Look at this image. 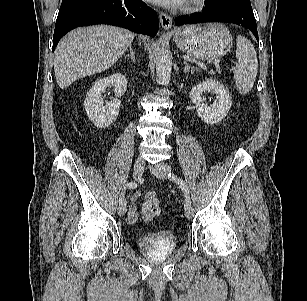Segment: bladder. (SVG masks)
I'll return each instance as SVG.
<instances>
[{
  "mask_svg": "<svg viewBox=\"0 0 307 301\" xmlns=\"http://www.w3.org/2000/svg\"><path fill=\"white\" fill-rule=\"evenodd\" d=\"M141 250L151 259L168 256L175 247V241L167 233H151L138 240Z\"/></svg>",
  "mask_w": 307,
  "mask_h": 301,
  "instance_id": "bladder-1",
  "label": "bladder"
}]
</instances>
